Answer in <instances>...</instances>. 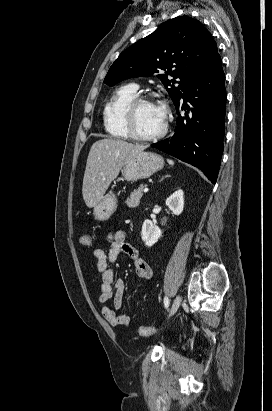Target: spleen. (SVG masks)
Instances as JSON below:
<instances>
[{
  "mask_svg": "<svg viewBox=\"0 0 272 411\" xmlns=\"http://www.w3.org/2000/svg\"><path fill=\"white\" fill-rule=\"evenodd\" d=\"M167 162H168L170 165H173V164H174V162H173L172 160H170V159H167Z\"/></svg>",
  "mask_w": 272,
  "mask_h": 411,
  "instance_id": "1",
  "label": "spleen"
}]
</instances>
